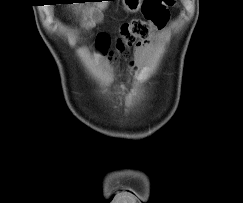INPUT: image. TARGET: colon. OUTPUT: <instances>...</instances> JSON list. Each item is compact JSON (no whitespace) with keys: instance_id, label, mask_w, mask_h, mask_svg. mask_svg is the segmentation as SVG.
Segmentation results:
<instances>
[{"instance_id":"obj_1","label":"colon","mask_w":243,"mask_h":203,"mask_svg":"<svg viewBox=\"0 0 243 203\" xmlns=\"http://www.w3.org/2000/svg\"><path fill=\"white\" fill-rule=\"evenodd\" d=\"M178 0H144L142 19H133L120 27L115 49L110 50V39L101 34L97 40V50L112 61L126 63L130 58V49L146 39L154 29H162L168 21V11L177 5Z\"/></svg>"}]
</instances>
